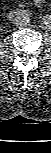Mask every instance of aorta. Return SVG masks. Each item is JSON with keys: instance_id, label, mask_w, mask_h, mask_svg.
<instances>
[{"instance_id": "obj_1", "label": "aorta", "mask_w": 51, "mask_h": 153, "mask_svg": "<svg viewBox=\"0 0 51 153\" xmlns=\"http://www.w3.org/2000/svg\"><path fill=\"white\" fill-rule=\"evenodd\" d=\"M41 24L44 31L51 32V16L49 15L44 16Z\"/></svg>"}]
</instances>
